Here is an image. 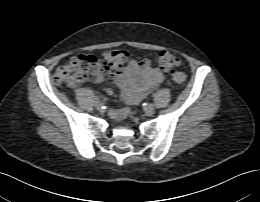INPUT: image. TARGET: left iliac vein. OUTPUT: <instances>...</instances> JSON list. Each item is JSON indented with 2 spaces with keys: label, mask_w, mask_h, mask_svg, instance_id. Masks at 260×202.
Wrapping results in <instances>:
<instances>
[{
  "label": "left iliac vein",
  "mask_w": 260,
  "mask_h": 202,
  "mask_svg": "<svg viewBox=\"0 0 260 202\" xmlns=\"http://www.w3.org/2000/svg\"><path fill=\"white\" fill-rule=\"evenodd\" d=\"M144 112L148 116H152L155 112L153 105H147L144 107Z\"/></svg>",
  "instance_id": "4c4485c4"
}]
</instances>
